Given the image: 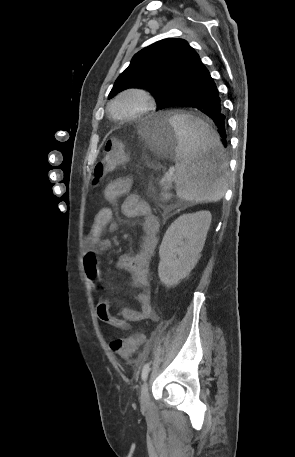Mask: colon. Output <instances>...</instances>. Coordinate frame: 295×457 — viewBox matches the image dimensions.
Wrapping results in <instances>:
<instances>
[{"mask_svg":"<svg viewBox=\"0 0 295 457\" xmlns=\"http://www.w3.org/2000/svg\"><path fill=\"white\" fill-rule=\"evenodd\" d=\"M127 154L123 144L118 139H109L103 149L102 157L94 169L95 182L101 179L108 172L122 167L127 163ZM144 337L138 333L126 338L116 339L108 342V349L121 357L129 359L133 356L138 346L143 342Z\"/></svg>","mask_w":295,"mask_h":457,"instance_id":"1","label":"colon"}]
</instances>
